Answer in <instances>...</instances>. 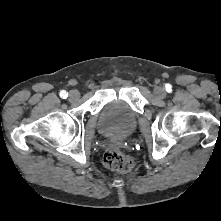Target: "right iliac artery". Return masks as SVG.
Wrapping results in <instances>:
<instances>
[{
  "label": "right iliac artery",
  "instance_id": "right-iliac-artery-1",
  "mask_svg": "<svg viewBox=\"0 0 221 221\" xmlns=\"http://www.w3.org/2000/svg\"><path fill=\"white\" fill-rule=\"evenodd\" d=\"M68 94L66 93V91H61L60 92V97H62L63 99L67 98Z\"/></svg>",
  "mask_w": 221,
  "mask_h": 221
}]
</instances>
